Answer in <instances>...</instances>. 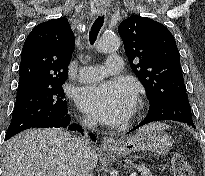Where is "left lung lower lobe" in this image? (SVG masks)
Listing matches in <instances>:
<instances>
[{
    "label": "left lung lower lobe",
    "instance_id": "left-lung-lower-lobe-1",
    "mask_svg": "<svg viewBox=\"0 0 205 176\" xmlns=\"http://www.w3.org/2000/svg\"><path fill=\"white\" fill-rule=\"evenodd\" d=\"M174 120L184 122L195 128L187 93H177L164 103L150 105L146 118L134 129L154 121ZM133 129V130H134Z\"/></svg>",
    "mask_w": 205,
    "mask_h": 176
}]
</instances>
